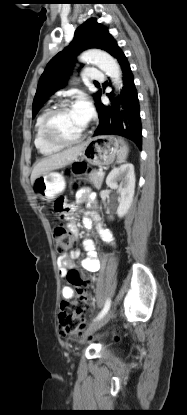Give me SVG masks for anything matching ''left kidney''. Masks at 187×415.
<instances>
[{
    "label": "left kidney",
    "instance_id": "1",
    "mask_svg": "<svg viewBox=\"0 0 187 415\" xmlns=\"http://www.w3.org/2000/svg\"><path fill=\"white\" fill-rule=\"evenodd\" d=\"M118 182H120L119 185ZM106 184L111 189H116L120 194L118 199L119 206L116 213L118 217H124L132 204L135 192V174L133 164L126 163L118 168H114L108 174Z\"/></svg>",
    "mask_w": 187,
    "mask_h": 415
}]
</instances>
